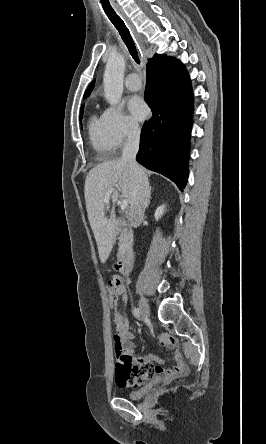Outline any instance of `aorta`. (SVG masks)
Here are the masks:
<instances>
[{
	"mask_svg": "<svg viewBox=\"0 0 266 444\" xmlns=\"http://www.w3.org/2000/svg\"><path fill=\"white\" fill-rule=\"evenodd\" d=\"M125 70V59L121 54L112 55L104 72L103 84L107 101L117 104L123 93V76Z\"/></svg>",
	"mask_w": 266,
	"mask_h": 444,
	"instance_id": "1",
	"label": "aorta"
}]
</instances>
